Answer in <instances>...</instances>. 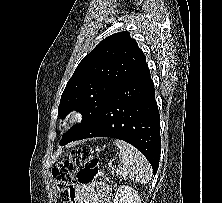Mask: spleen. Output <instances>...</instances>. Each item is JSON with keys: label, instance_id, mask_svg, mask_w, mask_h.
Wrapping results in <instances>:
<instances>
[{"label": "spleen", "instance_id": "3e777b00", "mask_svg": "<svg viewBox=\"0 0 222 203\" xmlns=\"http://www.w3.org/2000/svg\"><path fill=\"white\" fill-rule=\"evenodd\" d=\"M115 144L120 149L119 161L121 165L117 174L141 184L151 180V166L145 156L135 147L123 140H116Z\"/></svg>", "mask_w": 222, "mask_h": 203}]
</instances>
